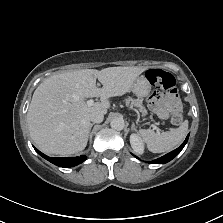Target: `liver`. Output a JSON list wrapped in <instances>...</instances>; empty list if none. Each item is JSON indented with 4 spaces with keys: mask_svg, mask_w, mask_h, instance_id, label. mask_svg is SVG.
I'll use <instances>...</instances> for the list:
<instances>
[{
    "mask_svg": "<svg viewBox=\"0 0 223 223\" xmlns=\"http://www.w3.org/2000/svg\"><path fill=\"white\" fill-rule=\"evenodd\" d=\"M148 68L109 67L53 75L35 90L27 113L30 136L45 154L71 155L85 149L93 111L107 113L108 98L130 92ZM96 79L103 85L96 86ZM100 97L91 107L85 98Z\"/></svg>",
    "mask_w": 223,
    "mask_h": 223,
    "instance_id": "1",
    "label": "liver"
}]
</instances>
